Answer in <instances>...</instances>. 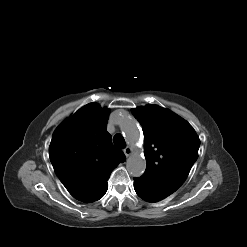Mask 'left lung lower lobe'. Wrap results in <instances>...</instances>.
I'll return each instance as SVG.
<instances>
[{
	"label": "left lung lower lobe",
	"instance_id": "left-lung-lower-lobe-1",
	"mask_svg": "<svg viewBox=\"0 0 247 247\" xmlns=\"http://www.w3.org/2000/svg\"><path fill=\"white\" fill-rule=\"evenodd\" d=\"M134 189L140 198L148 202H157L168 196L150 186L141 177L134 178Z\"/></svg>",
	"mask_w": 247,
	"mask_h": 247
}]
</instances>
